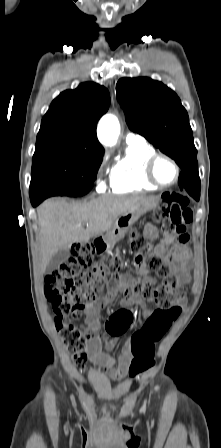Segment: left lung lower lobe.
Instances as JSON below:
<instances>
[{"label":"left lung lower lobe","mask_w":221,"mask_h":448,"mask_svg":"<svg viewBox=\"0 0 221 448\" xmlns=\"http://www.w3.org/2000/svg\"><path fill=\"white\" fill-rule=\"evenodd\" d=\"M180 189H185L194 199L200 198V178L197 169L183 170L178 179Z\"/></svg>","instance_id":"0a47b994"}]
</instances>
